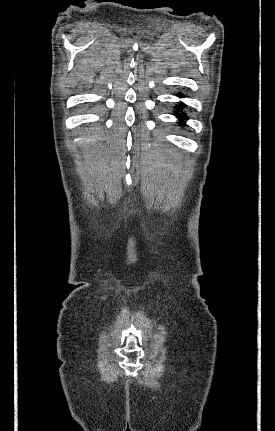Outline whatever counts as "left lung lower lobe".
Wrapping results in <instances>:
<instances>
[{"instance_id": "0a47b994", "label": "left lung lower lobe", "mask_w": 275, "mask_h": 431, "mask_svg": "<svg viewBox=\"0 0 275 431\" xmlns=\"http://www.w3.org/2000/svg\"><path fill=\"white\" fill-rule=\"evenodd\" d=\"M178 96H180V95H178ZM183 106H184V104H182V103H181V104L177 107V108H178V111H179V109L183 108ZM176 116H177V118L181 119L180 124H183V123H184L183 119H185V118H186V114L178 113V114H176Z\"/></svg>"}]
</instances>
